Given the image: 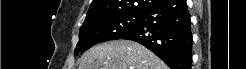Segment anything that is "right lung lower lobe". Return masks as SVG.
<instances>
[{"mask_svg": "<svg viewBox=\"0 0 246 69\" xmlns=\"http://www.w3.org/2000/svg\"><path fill=\"white\" fill-rule=\"evenodd\" d=\"M190 22L186 0H167L143 12L139 25L119 39L144 45L171 69H191Z\"/></svg>", "mask_w": 246, "mask_h": 69, "instance_id": "98d812e1", "label": "right lung lower lobe"}]
</instances>
